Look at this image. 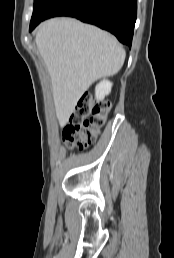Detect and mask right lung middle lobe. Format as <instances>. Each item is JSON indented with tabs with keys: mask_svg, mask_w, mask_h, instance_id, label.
I'll return each mask as SVG.
<instances>
[{
	"mask_svg": "<svg viewBox=\"0 0 174 258\" xmlns=\"http://www.w3.org/2000/svg\"><path fill=\"white\" fill-rule=\"evenodd\" d=\"M59 0H34L33 14L30 21V31H32L46 17L48 11Z\"/></svg>",
	"mask_w": 174,
	"mask_h": 258,
	"instance_id": "dd1d6c3e",
	"label": "right lung middle lobe"
}]
</instances>
